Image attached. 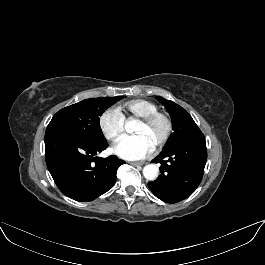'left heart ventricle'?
<instances>
[{
	"label": "left heart ventricle",
	"instance_id": "1",
	"mask_svg": "<svg viewBox=\"0 0 265 265\" xmlns=\"http://www.w3.org/2000/svg\"><path fill=\"white\" fill-rule=\"evenodd\" d=\"M165 130V124L162 120H156L155 122L144 125L137 122L134 133L144 135L154 146L163 136Z\"/></svg>",
	"mask_w": 265,
	"mask_h": 265
}]
</instances>
